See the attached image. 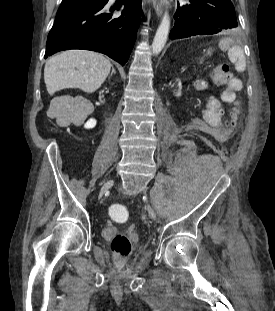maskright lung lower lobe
<instances>
[{
  "label": "right lung lower lobe",
  "instance_id": "1",
  "mask_svg": "<svg viewBox=\"0 0 275 311\" xmlns=\"http://www.w3.org/2000/svg\"><path fill=\"white\" fill-rule=\"evenodd\" d=\"M102 4L68 10L56 16L48 34L44 58L67 49H87L104 53L124 65L135 43L140 23L141 0H125L120 16L116 7Z\"/></svg>",
  "mask_w": 275,
  "mask_h": 311
}]
</instances>
